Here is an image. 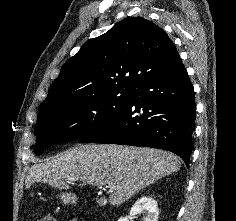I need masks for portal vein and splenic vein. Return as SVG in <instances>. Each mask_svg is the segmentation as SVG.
<instances>
[{"label": "portal vein and splenic vein", "instance_id": "18ae733b", "mask_svg": "<svg viewBox=\"0 0 236 221\" xmlns=\"http://www.w3.org/2000/svg\"><path fill=\"white\" fill-rule=\"evenodd\" d=\"M77 178H70V181H76ZM106 188H109L110 190H113L115 188V185L113 184H110V185H107Z\"/></svg>", "mask_w": 236, "mask_h": 221}]
</instances>
